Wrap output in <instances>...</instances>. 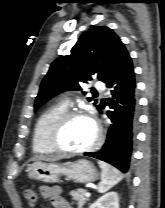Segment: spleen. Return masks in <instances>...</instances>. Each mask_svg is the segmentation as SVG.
I'll return each instance as SVG.
<instances>
[{
  "label": "spleen",
  "mask_w": 165,
  "mask_h": 208,
  "mask_svg": "<svg viewBox=\"0 0 165 208\" xmlns=\"http://www.w3.org/2000/svg\"><path fill=\"white\" fill-rule=\"evenodd\" d=\"M102 169L101 182L98 184V192L104 193L122 180V174L113 166L103 162H98Z\"/></svg>",
  "instance_id": "obj_1"
}]
</instances>
